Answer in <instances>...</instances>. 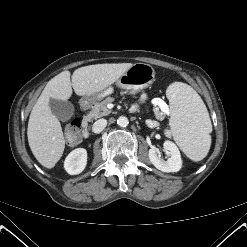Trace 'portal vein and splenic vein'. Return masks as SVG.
I'll list each match as a JSON object with an SVG mask.
<instances>
[{
    "instance_id": "portal-vein-and-splenic-vein-1",
    "label": "portal vein and splenic vein",
    "mask_w": 247,
    "mask_h": 247,
    "mask_svg": "<svg viewBox=\"0 0 247 247\" xmlns=\"http://www.w3.org/2000/svg\"><path fill=\"white\" fill-rule=\"evenodd\" d=\"M162 111L166 114H169V108L167 106V104H165L164 102L160 105Z\"/></svg>"
}]
</instances>
